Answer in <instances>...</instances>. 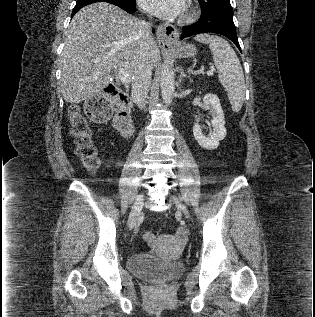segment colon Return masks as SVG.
I'll list each match as a JSON object with an SVG mask.
<instances>
[{
	"label": "colon",
	"instance_id": "5ec220e1",
	"mask_svg": "<svg viewBox=\"0 0 315 317\" xmlns=\"http://www.w3.org/2000/svg\"><path fill=\"white\" fill-rule=\"evenodd\" d=\"M113 96L114 93L111 90L93 96L86 102L84 113L75 106L69 109L70 132L76 143L77 154L84 167L91 173L99 168L100 157L87 118L95 121L108 120L113 111ZM142 239L152 244L155 233L150 229H143Z\"/></svg>",
	"mask_w": 315,
	"mask_h": 317
}]
</instances>
